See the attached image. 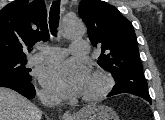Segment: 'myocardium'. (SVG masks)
<instances>
[{
  "label": "myocardium",
  "mask_w": 165,
  "mask_h": 120,
  "mask_svg": "<svg viewBox=\"0 0 165 120\" xmlns=\"http://www.w3.org/2000/svg\"><path fill=\"white\" fill-rule=\"evenodd\" d=\"M94 78L101 81V87L90 95L82 96L83 102H95L105 97L114 85L113 77L103 69H96L91 74Z\"/></svg>",
  "instance_id": "obj_1"
}]
</instances>
